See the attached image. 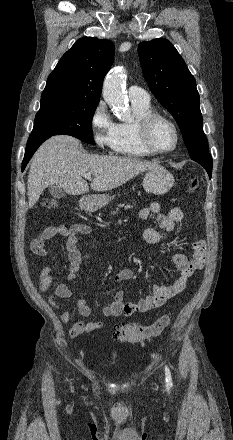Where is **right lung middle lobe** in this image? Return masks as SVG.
Returning <instances> with one entry per match:
<instances>
[{"mask_svg": "<svg viewBox=\"0 0 233 440\" xmlns=\"http://www.w3.org/2000/svg\"><path fill=\"white\" fill-rule=\"evenodd\" d=\"M99 102L73 99H53L41 102L30 136L45 137L66 134L89 144H95L92 118Z\"/></svg>", "mask_w": 233, "mask_h": 440, "instance_id": "obj_1", "label": "right lung middle lobe"}]
</instances>
